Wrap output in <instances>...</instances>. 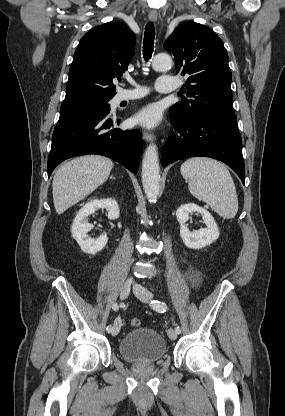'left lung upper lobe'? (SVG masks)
I'll use <instances>...</instances> for the list:
<instances>
[{
	"mask_svg": "<svg viewBox=\"0 0 285 416\" xmlns=\"http://www.w3.org/2000/svg\"><path fill=\"white\" fill-rule=\"evenodd\" d=\"M164 48L174 55L176 73L189 76L184 93L191 99L173 105L172 122L186 123L213 113L234 114L229 58L214 31L195 22L180 24Z\"/></svg>",
	"mask_w": 285,
	"mask_h": 416,
	"instance_id": "5c2ea615",
	"label": "left lung upper lobe"
}]
</instances>
